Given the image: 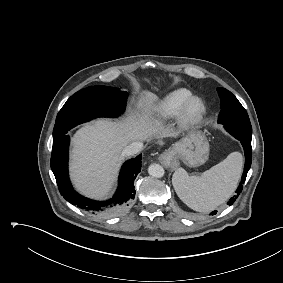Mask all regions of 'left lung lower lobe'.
I'll list each match as a JSON object with an SVG mask.
<instances>
[{
  "label": "left lung lower lobe",
  "mask_w": 283,
  "mask_h": 283,
  "mask_svg": "<svg viewBox=\"0 0 283 283\" xmlns=\"http://www.w3.org/2000/svg\"><path fill=\"white\" fill-rule=\"evenodd\" d=\"M238 140L241 141V144L244 148L245 165H244V171H243V174H242L241 182H240V184H239V186L236 190V195L229 200L228 205H232L233 202L238 197V195L242 192L243 182H245V179H246L247 173L250 169L251 161H252L251 134H247L243 137H240ZM216 212L217 211H213L211 214L214 215V214H216Z\"/></svg>",
  "instance_id": "1"
}]
</instances>
